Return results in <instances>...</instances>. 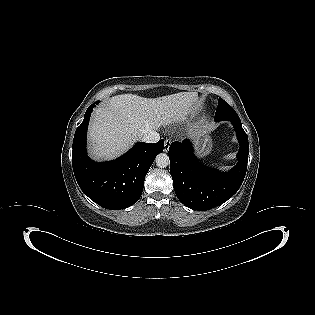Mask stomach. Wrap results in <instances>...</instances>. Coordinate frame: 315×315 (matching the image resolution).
I'll return each mask as SVG.
<instances>
[{
  "label": "stomach",
  "instance_id": "stomach-1",
  "mask_svg": "<svg viewBox=\"0 0 315 315\" xmlns=\"http://www.w3.org/2000/svg\"><path fill=\"white\" fill-rule=\"evenodd\" d=\"M192 135L197 138L196 145L198 154L201 157L206 156L211 149V139L208 133L204 129L198 127L193 129Z\"/></svg>",
  "mask_w": 315,
  "mask_h": 315
}]
</instances>
